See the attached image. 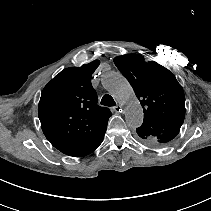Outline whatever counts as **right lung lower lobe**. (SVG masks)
<instances>
[{
	"label": "right lung lower lobe",
	"instance_id": "1",
	"mask_svg": "<svg viewBox=\"0 0 211 211\" xmlns=\"http://www.w3.org/2000/svg\"><path fill=\"white\" fill-rule=\"evenodd\" d=\"M106 127L107 124L98 134L89 137H83L75 141L58 146L56 148L62 153L73 157H82L89 155L101 144L104 138Z\"/></svg>",
	"mask_w": 211,
	"mask_h": 211
}]
</instances>
